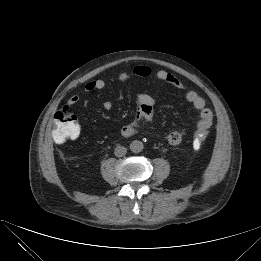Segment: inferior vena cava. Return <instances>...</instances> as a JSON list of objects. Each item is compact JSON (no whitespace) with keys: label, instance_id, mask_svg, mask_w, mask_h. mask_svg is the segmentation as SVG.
I'll list each match as a JSON object with an SVG mask.
<instances>
[{"label":"inferior vena cava","instance_id":"602c4592","mask_svg":"<svg viewBox=\"0 0 261 261\" xmlns=\"http://www.w3.org/2000/svg\"><path fill=\"white\" fill-rule=\"evenodd\" d=\"M127 153V148L124 146H117L114 150V154L117 157H122Z\"/></svg>","mask_w":261,"mask_h":261}]
</instances>
